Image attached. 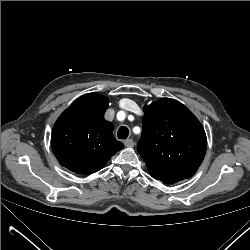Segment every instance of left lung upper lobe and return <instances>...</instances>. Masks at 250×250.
I'll use <instances>...</instances> for the list:
<instances>
[{
    "instance_id": "left-lung-upper-lobe-1",
    "label": "left lung upper lobe",
    "mask_w": 250,
    "mask_h": 250,
    "mask_svg": "<svg viewBox=\"0 0 250 250\" xmlns=\"http://www.w3.org/2000/svg\"><path fill=\"white\" fill-rule=\"evenodd\" d=\"M137 145L150 175L164 183L190 178L202 163L207 139L203 126L182 103L162 98L144 107Z\"/></svg>"
}]
</instances>
